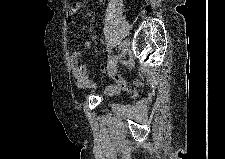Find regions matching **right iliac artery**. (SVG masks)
<instances>
[{
  "instance_id": "obj_1",
  "label": "right iliac artery",
  "mask_w": 225,
  "mask_h": 159,
  "mask_svg": "<svg viewBox=\"0 0 225 159\" xmlns=\"http://www.w3.org/2000/svg\"><path fill=\"white\" fill-rule=\"evenodd\" d=\"M119 49H121V44L119 43Z\"/></svg>"
}]
</instances>
